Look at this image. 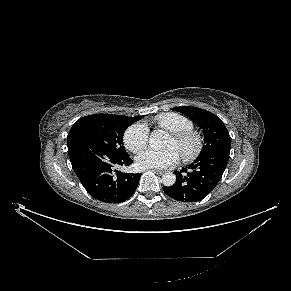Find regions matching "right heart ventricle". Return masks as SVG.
Here are the masks:
<instances>
[{"label":"right heart ventricle","instance_id":"obj_1","mask_svg":"<svg viewBox=\"0 0 291 291\" xmlns=\"http://www.w3.org/2000/svg\"><path fill=\"white\" fill-rule=\"evenodd\" d=\"M154 122L159 128L165 129L171 133L193 128V122L191 119L174 112L157 115Z\"/></svg>","mask_w":291,"mask_h":291}]
</instances>
